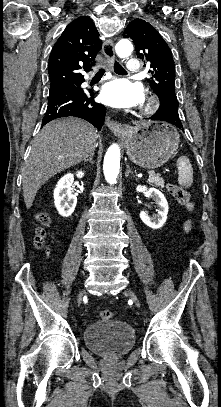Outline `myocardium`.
I'll list each match as a JSON object with an SVG mask.
<instances>
[{
    "mask_svg": "<svg viewBox=\"0 0 221 407\" xmlns=\"http://www.w3.org/2000/svg\"><path fill=\"white\" fill-rule=\"evenodd\" d=\"M158 108V100L150 95L146 98V103L142 109L143 113L150 114Z\"/></svg>",
    "mask_w": 221,
    "mask_h": 407,
    "instance_id": "obj_1",
    "label": "myocardium"
}]
</instances>
